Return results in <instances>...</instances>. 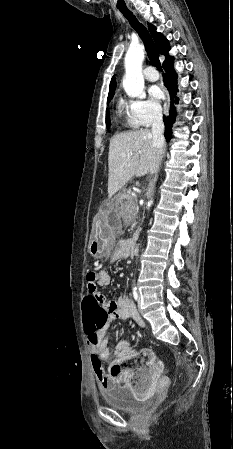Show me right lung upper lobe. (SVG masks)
<instances>
[{
	"instance_id": "1",
	"label": "right lung upper lobe",
	"mask_w": 233,
	"mask_h": 449,
	"mask_svg": "<svg viewBox=\"0 0 233 449\" xmlns=\"http://www.w3.org/2000/svg\"><path fill=\"white\" fill-rule=\"evenodd\" d=\"M148 28L151 36L153 37L156 43L158 52L165 56L163 66L172 63L174 59L172 56L169 55L170 46L168 40L165 39L161 33L156 31V27L154 25L148 23ZM115 89H116V79L113 76L109 86V94H114Z\"/></svg>"
}]
</instances>
